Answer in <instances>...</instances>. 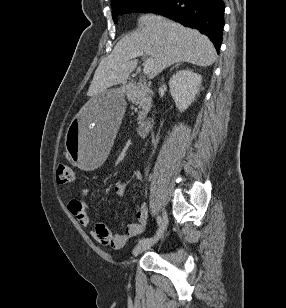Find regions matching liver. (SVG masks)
<instances>
[{
    "instance_id": "6515ba94",
    "label": "liver",
    "mask_w": 286,
    "mask_h": 308,
    "mask_svg": "<svg viewBox=\"0 0 286 308\" xmlns=\"http://www.w3.org/2000/svg\"><path fill=\"white\" fill-rule=\"evenodd\" d=\"M135 51H143L154 60L151 76L178 62L207 67L214 63L216 51L205 35L156 15L139 18V29L122 38L110 55L100 62L88 90L96 99L109 87L126 84L138 61L129 60Z\"/></svg>"
}]
</instances>
